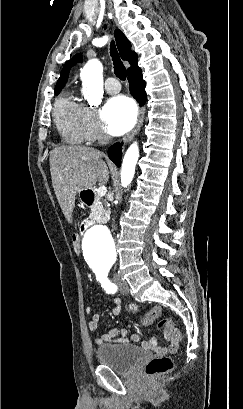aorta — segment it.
I'll return each mask as SVG.
<instances>
[{
    "label": "aorta",
    "mask_w": 243,
    "mask_h": 409,
    "mask_svg": "<svg viewBox=\"0 0 243 409\" xmlns=\"http://www.w3.org/2000/svg\"><path fill=\"white\" fill-rule=\"evenodd\" d=\"M103 66L97 59L89 60L81 70L84 97L91 105H98L103 91ZM139 158L137 143H133L125 153L121 169V185L131 184ZM83 251L89 261H102L115 252L113 237L105 226L95 225L84 234Z\"/></svg>",
    "instance_id": "aorta-1"
}]
</instances>
